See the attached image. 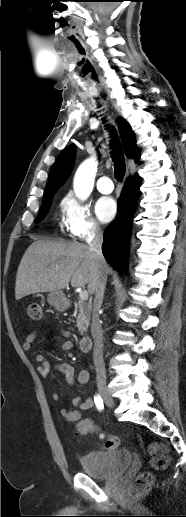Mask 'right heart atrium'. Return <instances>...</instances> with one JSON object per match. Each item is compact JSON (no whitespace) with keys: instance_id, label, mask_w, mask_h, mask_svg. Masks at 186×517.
Masks as SVG:
<instances>
[{"instance_id":"right-heart-atrium-1","label":"right heart atrium","mask_w":186,"mask_h":517,"mask_svg":"<svg viewBox=\"0 0 186 517\" xmlns=\"http://www.w3.org/2000/svg\"><path fill=\"white\" fill-rule=\"evenodd\" d=\"M60 223L62 229L78 240L97 237L101 228L90 208L73 194L65 195L60 201Z\"/></svg>"}]
</instances>
